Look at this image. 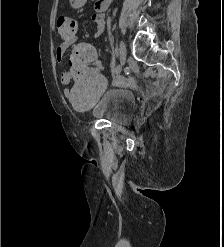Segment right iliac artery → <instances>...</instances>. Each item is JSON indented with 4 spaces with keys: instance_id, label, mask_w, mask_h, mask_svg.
Instances as JSON below:
<instances>
[{
    "instance_id": "82829eb1",
    "label": "right iliac artery",
    "mask_w": 224,
    "mask_h": 247,
    "mask_svg": "<svg viewBox=\"0 0 224 247\" xmlns=\"http://www.w3.org/2000/svg\"><path fill=\"white\" fill-rule=\"evenodd\" d=\"M120 70H121V67H120V65H118L117 67H115V68L113 69L112 74H113V75H118L119 72H120Z\"/></svg>"
}]
</instances>
